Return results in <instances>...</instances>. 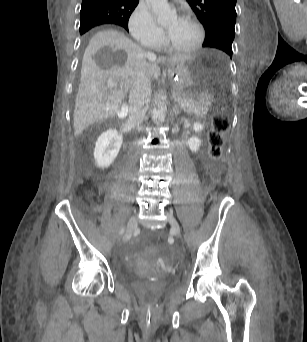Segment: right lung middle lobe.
<instances>
[{
    "label": "right lung middle lobe",
    "instance_id": "1",
    "mask_svg": "<svg viewBox=\"0 0 307 342\" xmlns=\"http://www.w3.org/2000/svg\"><path fill=\"white\" fill-rule=\"evenodd\" d=\"M116 15L105 11L85 10L80 12V33L83 34L89 29L101 25L113 23Z\"/></svg>",
    "mask_w": 307,
    "mask_h": 342
}]
</instances>
